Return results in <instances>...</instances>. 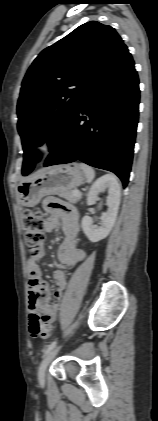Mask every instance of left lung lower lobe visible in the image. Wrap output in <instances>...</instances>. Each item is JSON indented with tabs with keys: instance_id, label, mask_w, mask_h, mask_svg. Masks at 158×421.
Masks as SVG:
<instances>
[{
	"instance_id": "1",
	"label": "left lung lower lobe",
	"mask_w": 158,
	"mask_h": 421,
	"mask_svg": "<svg viewBox=\"0 0 158 421\" xmlns=\"http://www.w3.org/2000/svg\"><path fill=\"white\" fill-rule=\"evenodd\" d=\"M139 80L124 44L93 81L51 146L44 166L76 159L115 173L126 187L138 123Z\"/></svg>"
}]
</instances>
